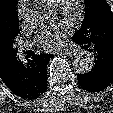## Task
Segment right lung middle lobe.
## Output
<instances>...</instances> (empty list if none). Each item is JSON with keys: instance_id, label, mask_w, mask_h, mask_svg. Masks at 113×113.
Instances as JSON below:
<instances>
[{"instance_id": "obj_1", "label": "right lung middle lobe", "mask_w": 113, "mask_h": 113, "mask_svg": "<svg viewBox=\"0 0 113 113\" xmlns=\"http://www.w3.org/2000/svg\"><path fill=\"white\" fill-rule=\"evenodd\" d=\"M18 33H19V29H18V21H17V22H15V24L13 26V31H12L11 39H10V46H11V49L15 56H16L17 50L14 48V44H15V39H16Z\"/></svg>"}]
</instances>
